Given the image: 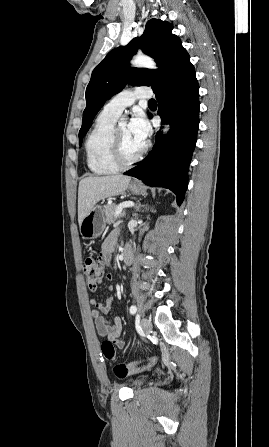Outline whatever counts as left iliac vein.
Masks as SVG:
<instances>
[{"label": "left iliac vein", "mask_w": 269, "mask_h": 447, "mask_svg": "<svg viewBox=\"0 0 269 447\" xmlns=\"http://www.w3.org/2000/svg\"><path fill=\"white\" fill-rule=\"evenodd\" d=\"M141 327L144 330L146 334H148L152 328V323L147 318H142L141 320Z\"/></svg>", "instance_id": "left-iliac-vein-1"}]
</instances>
